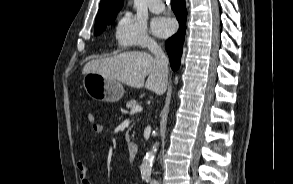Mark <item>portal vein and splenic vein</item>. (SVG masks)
<instances>
[{
	"instance_id": "obj_1",
	"label": "portal vein and splenic vein",
	"mask_w": 293,
	"mask_h": 184,
	"mask_svg": "<svg viewBox=\"0 0 293 184\" xmlns=\"http://www.w3.org/2000/svg\"><path fill=\"white\" fill-rule=\"evenodd\" d=\"M142 111V107L137 105L135 107H133V109L131 110V113H136V112H141Z\"/></svg>"
}]
</instances>
